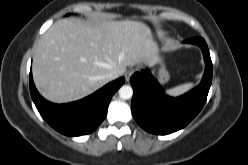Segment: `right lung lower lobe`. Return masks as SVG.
Here are the masks:
<instances>
[{"instance_id":"1","label":"right lung lower lobe","mask_w":248,"mask_h":165,"mask_svg":"<svg viewBox=\"0 0 248 165\" xmlns=\"http://www.w3.org/2000/svg\"><path fill=\"white\" fill-rule=\"evenodd\" d=\"M124 81L119 78L82 100L58 105L38 93L30 72V92L40 115L50 126L64 135L80 136L93 132L101 124L113 94Z\"/></svg>"}]
</instances>
